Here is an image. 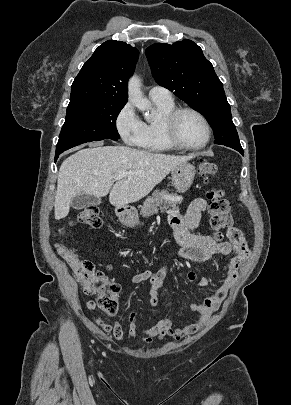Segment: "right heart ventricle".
Masks as SVG:
<instances>
[{
	"instance_id": "e07e8e85",
	"label": "right heart ventricle",
	"mask_w": 291,
	"mask_h": 405,
	"mask_svg": "<svg viewBox=\"0 0 291 405\" xmlns=\"http://www.w3.org/2000/svg\"><path fill=\"white\" fill-rule=\"evenodd\" d=\"M157 109V118L143 122V135L139 146L149 152H169L177 148L166 137L164 129L165 117L175 109L173 100L153 101Z\"/></svg>"
}]
</instances>
